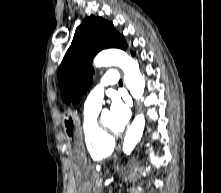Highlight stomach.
<instances>
[{"label": "stomach", "mask_w": 221, "mask_h": 193, "mask_svg": "<svg viewBox=\"0 0 221 193\" xmlns=\"http://www.w3.org/2000/svg\"><path fill=\"white\" fill-rule=\"evenodd\" d=\"M61 124L62 134H65L67 142V152H70L74 158L71 159V167H75L77 177L76 193H97L94 185V179L97 177L96 164H91L85 159L86 147L83 142L84 133L81 129L80 116L76 110H65Z\"/></svg>", "instance_id": "obj_1"}]
</instances>
